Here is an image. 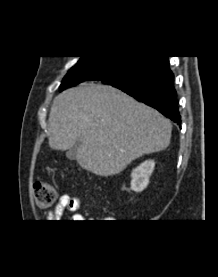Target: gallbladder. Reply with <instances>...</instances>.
I'll use <instances>...</instances> for the list:
<instances>
[{
    "label": "gallbladder",
    "mask_w": 218,
    "mask_h": 277,
    "mask_svg": "<svg viewBox=\"0 0 218 277\" xmlns=\"http://www.w3.org/2000/svg\"><path fill=\"white\" fill-rule=\"evenodd\" d=\"M80 146H81V142L76 141L75 144L70 149H68V151L66 152L67 158L70 160H75Z\"/></svg>",
    "instance_id": "obj_1"
}]
</instances>
